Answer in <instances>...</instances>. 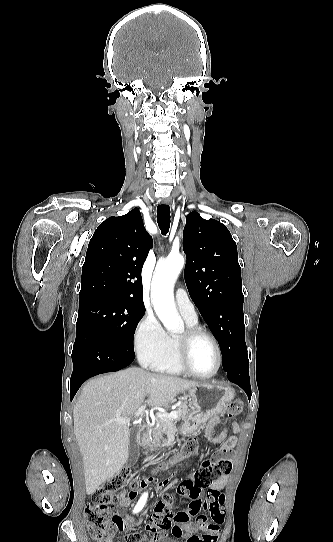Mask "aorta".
Masks as SVG:
<instances>
[{"instance_id":"1","label":"aorta","mask_w":333,"mask_h":542,"mask_svg":"<svg viewBox=\"0 0 333 542\" xmlns=\"http://www.w3.org/2000/svg\"><path fill=\"white\" fill-rule=\"evenodd\" d=\"M184 266L183 256H168L157 264L152 284L154 310L166 330H181L182 320L176 312L173 284Z\"/></svg>"}]
</instances>
